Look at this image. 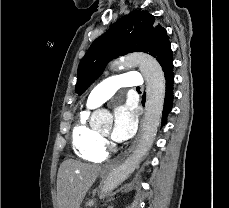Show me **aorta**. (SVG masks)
<instances>
[{
  "instance_id": "obj_1",
  "label": "aorta",
  "mask_w": 229,
  "mask_h": 208,
  "mask_svg": "<svg viewBox=\"0 0 229 208\" xmlns=\"http://www.w3.org/2000/svg\"><path fill=\"white\" fill-rule=\"evenodd\" d=\"M110 66L114 69L139 67L146 82V105L143 132L139 143L133 153L105 179L101 187L100 198H105L108 193L128 178L150 150L158 131L165 98L164 72L153 57L134 53L122 60L112 62ZM111 121L112 116L105 109H99L92 113L91 123L94 127L109 125Z\"/></svg>"
}]
</instances>
